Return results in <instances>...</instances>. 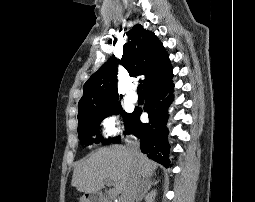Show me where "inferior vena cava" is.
<instances>
[{"instance_id":"602c4592","label":"inferior vena cava","mask_w":255,"mask_h":202,"mask_svg":"<svg viewBox=\"0 0 255 202\" xmlns=\"http://www.w3.org/2000/svg\"><path fill=\"white\" fill-rule=\"evenodd\" d=\"M128 148L133 156H137L140 152L137 140H129ZM145 190L144 179L138 173H134L121 193L120 202H135L144 196Z\"/></svg>"}]
</instances>
